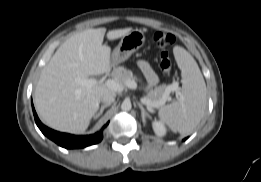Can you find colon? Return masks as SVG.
Returning a JSON list of instances; mask_svg holds the SVG:
<instances>
[{
    "mask_svg": "<svg viewBox=\"0 0 261 182\" xmlns=\"http://www.w3.org/2000/svg\"><path fill=\"white\" fill-rule=\"evenodd\" d=\"M154 41L161 50L159 66L161 70L166 75H168L171 71V58L167 51V48L173 45L175 41V37L170 33L158 31L154 35Z\"/></svg>",
    "mask_w": 261,
    "mask_h": 182,
    "instance_id": "obj_1",
    "label": "colon"
}]
</instances>
